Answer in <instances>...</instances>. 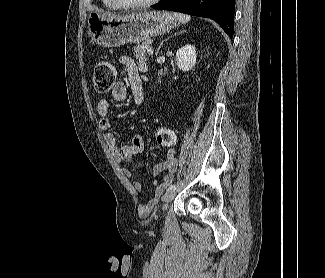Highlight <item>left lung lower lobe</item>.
Returning <instances> with one entry per match:
<instances>
[{
  "label": "left lung lower lobe",
  "instance_id": "0a47b994",
  "mask_svg": "<svg viewBox=\"0 0 325 278\" xmlns=\"http://www.w3.org/2000/svg\"><path fill=\"white\" fill-rule=\"evenodd\" d=\"M152 8L213 19L233 37L235 0H162Z\"/></svg>",
  "mask_w": 325,
  "mask_h": 278
}]
</instances>
